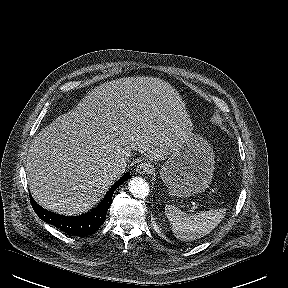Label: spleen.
Returning <instances> with one entry per match:
<instances>
[{
  "label": "spleen",
  "instance_id": "1",
  "mask_svg": "<svg viewBox=\"0 0 288 288\" xmlns=\"http://www.w3.org/2000/svg\"><path fill=\"white\" fill-rule=\"evenodd\" d=\"M225 209L200 211L187 214L175 206L166 205L165 214L176 238L193 241L209 234L225 216Z\"/></svg>",
  "mask_w": 288,
  "mask_h": 288
}]
</instances>
